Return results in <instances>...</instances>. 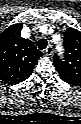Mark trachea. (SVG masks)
<instances>
[{
  "mask_svg": "<svg viewBox=\"0 0 81 124\" xmlns=\"http://www.w3.org/2000/svg\"><path fill=\"white\" fill-rule=\"evenodd\" d=\"M47 44H48V42H47L46 39H40V40L38 41V43H37L38 48H39L40 50L46 49Z\"/></svg>",
  "mask_w": 81,
  "mask_h": 124,
  "instance_id": "obj_1",
  "label": "trachea"
}]
</instances>
